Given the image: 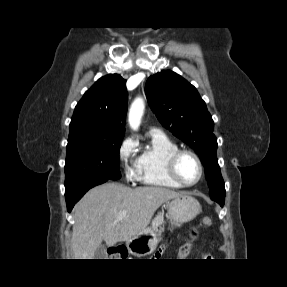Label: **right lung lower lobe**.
Listing matches in <instances>:
<instances>
[{
	"mask_svg": "<svg viewBox=\"0 0 287 287\" xmlns=\"http://www.w3.org/2000/svg\"><path fill=\"white\" fill-rule=\"evenodd\" d=\"M107 180H91L80 183L79 185L65 191V198L67 204V210L70 212L74 207L75 203L92 187L100 185Z\"/></svg>",
	"mask_w": 287,
	"mask_h": 287,
	"instance_id": "1",
	"label": "right lung lower lobe"
}]
</instances>
